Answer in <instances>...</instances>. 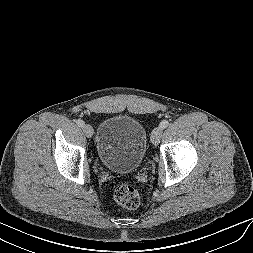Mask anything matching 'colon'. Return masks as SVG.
Returning a JSON list of instances; mask_svg holds the SVG:
<instances>
[{
  "label": "colon",
  "instance_id": "1",
  "mask_svg": "<svg viewBox=\"0 0 253 253\" xmlns=\"http://www.w3.org/2000/svg\"><path fill=\"white\" fill-rule=\"evenodd\" d=\"M113 196L115 201L127 209H135L140 204V196L137 190L128 184H118L114 187Z\"/></svg>",
  "mask_w": 253,
  "mask_h": 253
}]
</instances>
